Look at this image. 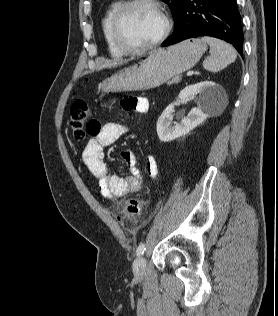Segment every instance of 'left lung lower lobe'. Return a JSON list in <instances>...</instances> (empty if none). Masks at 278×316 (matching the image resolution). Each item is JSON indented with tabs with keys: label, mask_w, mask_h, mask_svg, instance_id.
<instances>
[{
	"label": "left lung lower lobe",
	"mask_w": 278,
	"mask_h": 316,
	"mask_svg": "<svg viewBox=\"0 0 278 316\" xmlns=\"http://www.w3.org/2000/svg\"><path fill=\"white\" fill-rule=\"evenodd\" d=\"M172 35L161 46L212 36L231 43L242 55L243 32L236 0H184Z\"/></svg>",
	"instance_id": "left-lung-lower-lobe-1"
}]
</instances>
